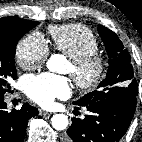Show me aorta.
Segmentation results:
<instances>
[{
	"label": "aorta",
	"instance_id": "762f6f07",
	"mask_svg": "<svg viewBox=\"0 0 142 142\" xmlns=\"http://www.w3.org/2000/svg\"><path fill=\"white\" fill-rule=\"evenodd\" d=\"M64 63L65 59L63 56L52 55L47 62V68L51 72L61 73ZM51 124L56 130H64L68 126V118L64 114H56L52 117Z\"/></svg>",
	"mask_w": 142,
	"mask_h": 142
}]
</instances>
